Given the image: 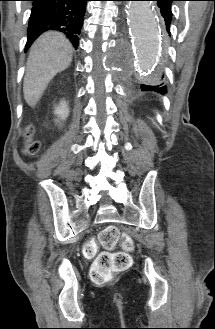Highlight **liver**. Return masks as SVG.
<instances>
[{
	"mask_svg": "<svg viewBox=\"0 0 215 329\" xmlns=\"http://www.w3.org/2000/svg\"><path fill=\"white\" fill-rule=\"evenodd\" d=\"M73 46L60 32L43 33L33 43L26 65L23 92L27 104L34 108L53 77L69 67Z\"/></svg>",
	"mask_w": 215,
	"mask_h": 329,
	"instance_id": "1",
	"label": "liver"
}]
</instances>
